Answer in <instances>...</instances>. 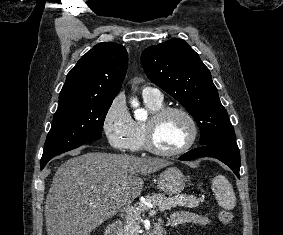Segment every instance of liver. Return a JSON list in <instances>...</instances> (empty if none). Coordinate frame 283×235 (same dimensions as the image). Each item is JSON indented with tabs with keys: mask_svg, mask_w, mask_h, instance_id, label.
I'll return each instance as SVG.
<instances>
[{
	"mask_svg": "<svg viewBox=\"0 0 283 235\" xmlns=\"http://www.w3.org/2000/svg\"><path fill=\"white\" fill-rule=\"evenodd\" d=\"M55 173L47 194V235H89L140 196L138 174L156 172L171 162L127 154L70 153Z\"/></svg>",
	"mask_w": 283,
	"mask_h": 235,
	"instance_id": "liver-1",
	"label": "liver"
}]
</instances>
